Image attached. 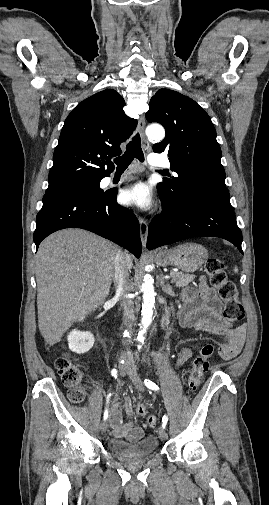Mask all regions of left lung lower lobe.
<instances>
[{
  "instance_id": "1",
  "label": "left lung lower lobe",
  "mask_w": 269,
  "mask_h": 505,
  "mask_svg": "<svg viewBox=\"0 0 269 505\" xmlns=\"http://www.w3.org/2000/svg\"><path fill=\"white\" fill-rule=\"evenodd\" d=\"M163 212L149 225L147 248L154 249L191 237H219L233 243L243 254L238 228L226 188L195 184L175 199L160 192Z\"/></svg>"
}]
</instances>
